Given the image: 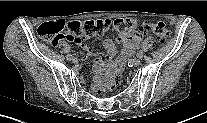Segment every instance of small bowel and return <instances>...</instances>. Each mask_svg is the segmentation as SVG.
<instances>
[{"label":"small bowel","mask_w":207,"mask_h":123,"mask_svg":"<svg viewBox=\"0 0 207 123\" xmlns=\"http://www.w3.org/2000/svg\"><path fill=\"white\" fill-rule=\"evenodd\" d=\"M112 30L117 32L118 42L123 45L120 61L124 62L134 53L139 42L142 40L143 34L138 31H120L114 27ZM75 43L79 45L87 55H97V53L89 45L85 44L81 39L75 40ZM103 46L106 50V55L102 59L106 62H112L117 52L116 44L113 42V40L106 38L103 41Z\"/></svg>","instance_id":"c3829d8e"}]
</instances>
